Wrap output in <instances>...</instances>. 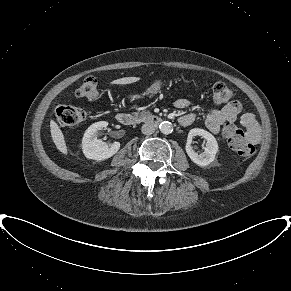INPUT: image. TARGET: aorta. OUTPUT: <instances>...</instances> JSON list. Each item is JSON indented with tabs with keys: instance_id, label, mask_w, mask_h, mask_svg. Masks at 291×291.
Masks as SVG:
<instances>
[{
	"instance_id": "1",
	"label": "aorta",
	"mask_w": 291,
	"mask_h": 291,
	"mask_svg": "<svg viewBox=\"0 0 291 291\" xmlns=\"http://www.w3.org/2000/svg\"><path fill=\"white\" fill-rule=\"evenodd\" d=\"M159 129L163 134H170L173 131L172 124L168 121L161 122L159 125Z\"/></svg>"
}]
</instances>
